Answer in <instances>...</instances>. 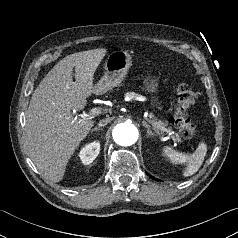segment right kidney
I'll return each mask as SVG.
<instances>
[{
  "label": "right kidney",
  "instance_id": "obj_1",
  "mask_svg": "<svg viewBox=\"0 0 238 238\" xmlns=\"http://www.w3.org/2000/svg\"><path fill=\"white\" fill-rule=\"evenodd\" d=\"M99 151L100 143L98 141H93L81 149L79 157L84 165H89L96 159Z\"/></svg>",
  "mask_w": 238,
  "mask_h": 238
}]
</instances>
